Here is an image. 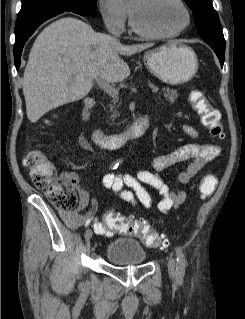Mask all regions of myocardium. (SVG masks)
<instances>
[{
  "label": "myocardium",
  "instance_id": "1",
  "mask_svg": "<svg viewBox=\"0 0 245 319\" xmlns=\"http://www.w3.org/2000/svg\"><path fill=\"white\" fill-rule=\"evenodd\" d=\"M176 3L180 5V7L183 9L186 20L184 25L178 29L177 31L170 32V33H157L152 32L149 30L144 29L137 21L134 12L128 7L129 11V19H130V26L132 30L138 34L139 36H142L144 38L148 39H160V40H166V39H173L184 33L191 25V13L187 5L184 3L183 0H175Z\"/></svg>",
  "mask_w": 245,
  "mask_h": 319
}]
</instances>
